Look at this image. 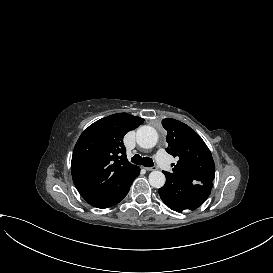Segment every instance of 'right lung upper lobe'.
<instances>
[{"label": "right lung upper lobe", "instance_id": "obj_1", "mask_svg": "<svg viewBox=\"0 0 273 273\" xmlns=\"http://www.w3.org/2000/svg\"><path fill=\"white\" fill-rule=\"evenodd\" d=\"M144 119L126 113L102 118L79 137L73 151V182L92 206H113L140 172L126 157L123 137Z\"/></svg>", "mask_w": 273, "mask_h": 273}]
</instances>
